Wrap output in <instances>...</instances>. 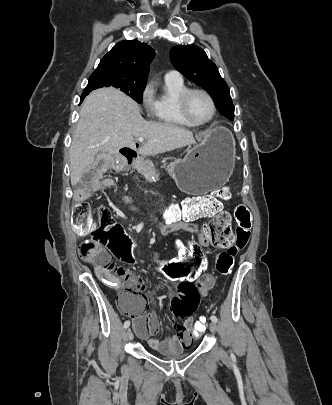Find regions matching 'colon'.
Segmentation results:
<instances>
[{
  "label": "colon",
  "instance_id": "1",
  "mask_svg": "<svg viewBox=\"0 0 332 405\" xmlns=\"http://www.w3.org/2000/svg\"><path fill=\"white\" fill-rule=\"evenodd\" d=\"M228 187L221 188L209 195L188 198L179 204H173L162 210L166 218H178L185 214H203L214 212L213 220H204L199 234H184V259L172 256L169 262L159 263L157 272L162 271L170 282L203 281L206 275V261L202 259L203 249H226L216 257V270L221 275L230 273L237 252L250 240L252 219L249 210L239 205L234 210L235 227H231L230 214L217 211L221 201L229 200ZM156 206V201H151ZM73 227L79 235L89 236L78 248L80 258L107 276L108 281L120 289L121 296L127 292L121 288L119 275L115 271L111 256H126L122 261L127 267H135L136 250L127 236L122 224L116 223L109 209L103 205L95 206L85 200H79L73 206ZM231 243H234L231 245ZM150 265V260H145ZM197 297V295H196ZM211 309L201 311L192 323L191 342H200L208 324Z\"/></svg>",
  "mask_w": 332,
  "mask_h": 405
}]
</instances>
